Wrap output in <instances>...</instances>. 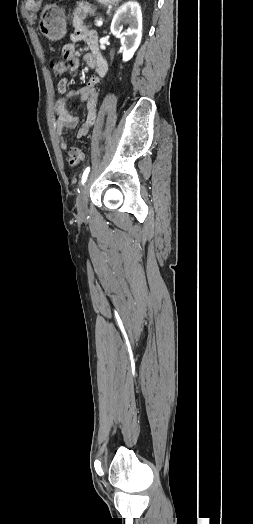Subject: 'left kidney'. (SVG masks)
Segmentation results:
<instances>
[{
  "mask_svg": "<svg viewBox=\"0 0 253 524\" xmlns=\"http://www.w3.org/2000/svg\"><path fill=\"white\" fill-rule=\"evenodd\" d=\"M122 24H129V28L121 34ZM110 30L113 35L121 38L123 61L130 60L142 38V12L139 3L129 1L122 5L113 17Z\"/></svg>",
  "mask_w": 253,
  "mask_h": 524,
  "instance_id": "left-kidney-1",
  "label": "left kidney"
}]
</instances>
